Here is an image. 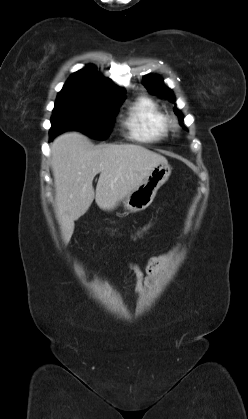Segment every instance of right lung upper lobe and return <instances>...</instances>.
<instances>
[{"mask_svg": "<svg viewBox=\"0 0 248 419\" xmlns=\"http://www.w3.org/2000/svg\"><path fill=\"white\" fill-rule=\"evenodd\" d=\"M60 92L98 99H116L125 96L123 88L98 74L92 65L72 74Z\"/></svg>", "mask_w": 248, "mask_h": 419, "instance_id": "obj_1", "label": "right lung upper lobe"}]
</instances>
